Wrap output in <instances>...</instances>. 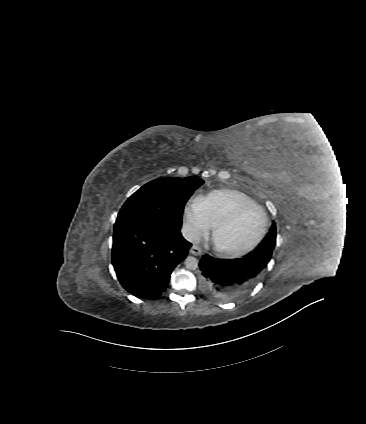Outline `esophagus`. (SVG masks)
Masks as SVG:
<instances>
[{
  "label": "esophagus",
  "mask_w": 366,
  "mask_h": 424,
  "mask_svg": "<svg viewBox=\"0 0 366 424\" xmlns=\"http://www.w3.org/2000/svg\"><path fill=\"white\" fill-rule=\"evenodd\" d=\"M190 253H191V254H193V255L198 256V255H201L202 250H201V248H199L198 246L193 245V246L191 247V249H190Z\"/></svg>",
  "instance_id": "esophagus-1"
}]
</instances>
